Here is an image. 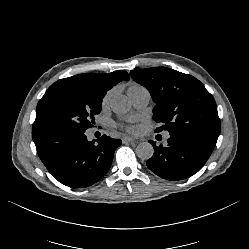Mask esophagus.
Returning <instances> with one entry per match:
<instances>
[{
	"mask_svg": "<svg viewBox=\"0 0 249 249\" xmlns=\"http://www.w3.org/2000/svg\"><path fill=\"white\" fill-rule=\"evenodd\" d=\"M122 141H123L124 143H130V142L133 141V139H132L130 136H124V137L122 138Z\"/></svg>",
	"mask_w": 249,
	"mask_h": 249,
	"instance_id": "34e87169",
	"label": "esophagus"
}]
</instances>
